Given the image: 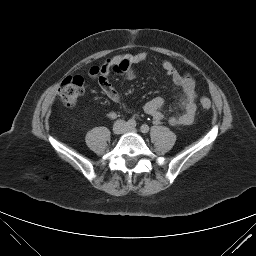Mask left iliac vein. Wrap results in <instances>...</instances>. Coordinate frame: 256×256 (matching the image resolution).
Wrapping results in <instances>:
<instances>
[{"instance_id": "left-iliac-vein-1", "label": "left iliac vein", "mask_w": 256, "mask_h": 256, "mask_svg": "<svg viewBox=\"0 0 256 256\" xmlns=\"http://www.w3.org/2000/svg\"><path fill=\"white\" fill-rule=\"evenodd\" d=\"M125 131H126V132H132V133H135V132H137V129H136V128H134V127H126Z\"/></svg>"}]
</instances>
